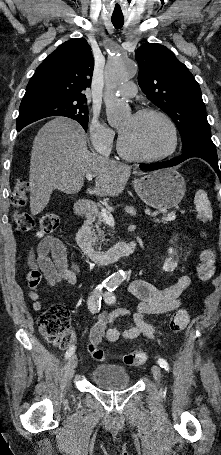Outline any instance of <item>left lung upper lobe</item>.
<instances>
[{"label": "left lung upper lobe", "instance_id": "left-lung-upper-lobe-1", "mask_svg": "<svg viewBox=\"0 0 221 455\" xmlns=\"http://www.w3.org/2000/svg\"><path fill=\"white\" fill-rule=\"evenodd\" d=\"M135 58L139 86L176 124L182 151L196 143L214 144L199 84L187 67L167 47L156 43L141 45Z\"/></svg>", "mask_w": 221, "mask_h": 455}]
</instances>
